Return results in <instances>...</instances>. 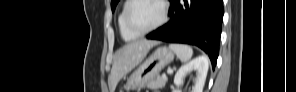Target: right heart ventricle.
Listing matches in <instances>:
<instances>
[{
  "instance_id": "right-heart-ventricle-1",
  "label": "right heart ventricle",
  "mask_w": 296,
  "mask_h": 92,
  "mask_svg": "<svg viewBox=\"0 0 296 92\" xmlns=\"http://www.w3.org/2000/svg\"><path fill=\"white\" fill-rule=\"evenodd\" d=\"M130 1H125L121 10H120V13L118 15V27H119V31H120V34L122 36V38L125 40V41H131V40H134L136 39L138 36L132 34L126 27L125 25V21H124V15H125V10H126V7L128 5Z\"/></svg>"
}]
</instances>
